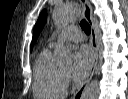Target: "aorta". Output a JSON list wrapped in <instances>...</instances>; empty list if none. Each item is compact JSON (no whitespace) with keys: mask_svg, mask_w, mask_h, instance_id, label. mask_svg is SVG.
<instances>
[{"mask_svg":"<svg viewBox=\"0 0 128 99\" xmlns=\"http://www.w3.org/2000/svg\"><path fill=\"white\" fill-rule=\"evenodd\" d=\"M78 6L74 3L64 4L56 7L53 11V20L57 25H65L74 20L78 15ZM73 53L65 47L59 46L54 53V60L58 65H68L72 62ZM99 82L97 79L85 88L82 93V99H97L99 95Z\"/></svg>","mask_w":128,"mask_h":99,"instance_id":"aorta-1","label":"aorta"}]
</instances>
